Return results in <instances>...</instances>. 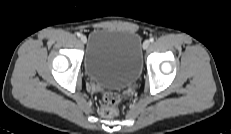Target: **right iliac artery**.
<instances>
[{
  "label": "right iliac artery",
  "mask_w": 231,
  "mask_h": 134,
  "mask_svg": "<svg viewBox=\"0 0 231 134\" xmlns=\"http://www.w3.org/2000/svg\"><path fill=\"white\" fill-rule=\"evenodd\" d=\"M76 35H77L78 37H80V36H81V33L77 32Z\"/></svg>",
  "instance_id": "right-iliac-artery-1"
}]
</instances>
